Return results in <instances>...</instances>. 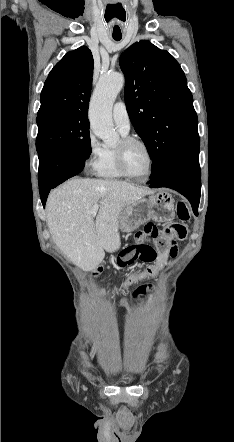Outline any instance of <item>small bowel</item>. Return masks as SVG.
<instances>
[{"mask_svg": "<svg viewBox=\"0 0 234 442\" xmlns=\"http://www.w3.org/2000/svg\"><path fill=\"white\" fill-rule=\"evenodd\" d=\"M176 255H177V248L173 247V249L169 253H167V254H160L157 257L158 258V262L159 263H163V262H165L168 259V257L174 258V257H176Z\"/></svg>", "mask_w": 234, "mask_h": 442, "instance_id": "small-bowel-1", "label": "small bowel"}]
</instances>
